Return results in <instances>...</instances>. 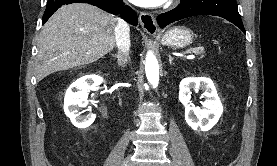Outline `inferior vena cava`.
Masks as SVG:
<instances>
[{"label": "inferior vena cava", "mask_w": 277, "mask_h": 166, "mask_svg": "<svg viewBox=\"0 0 277 166\" xmlns=\"http://www.w3.org/2000/svg\"><path fill=\"white\" fill-rule=\"evenodd\" d=\"M116 45L122 52L125 60L129 55L130 49V28L129 25L122 19L117 18V25L115 28Z\"/></svg>", "instance_id": "602c4592"}]
</instances>
